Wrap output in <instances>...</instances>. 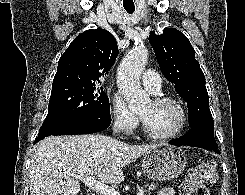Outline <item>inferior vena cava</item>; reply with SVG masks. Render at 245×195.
I'll return each instance as SVG.
<instances>
[{
  "mask_svg": "<svg viewBox=\"0 0 245 195\" xmlns=\"http://www.w3.org/2000/svg\"><path fill=\"white\" fill-rule=\"evenodd\" d=\"M121 126H122V123L119 122V121H116V122H115V125H114L115 131H119L120 128H121Z\"/></svg>",
  "mask_w": 245,
  "mask_h": 195,
  "instance_id": "1",
  "label": "inferior vena cava"
}]
</instances>
